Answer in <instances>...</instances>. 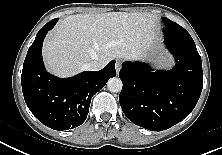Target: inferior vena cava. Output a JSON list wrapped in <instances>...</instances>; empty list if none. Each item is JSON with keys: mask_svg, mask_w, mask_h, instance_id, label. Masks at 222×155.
Listing matches in <instances>:
<instances>
[{"mask_svg": "<svg viewBox=\"0 0 222 155\" xmlns=\"http://www.w3.org/2000/svg\"><path fill=\"white\" fill-rule=\"evenodd\" d=\"M104 66L98 62V61H91L87 64H85V69L86 70H91V71H98L102 69Z\"/></svg>", "mask_w": 222, "mask_h": 155, "instance_id": "1", "label": "inferior vena cava"}]
</instances>
